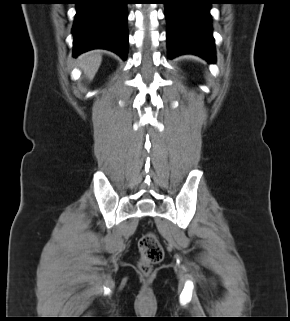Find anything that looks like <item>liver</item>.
Masks as SVG:
<instances>
[{
  "label": "liver",
  "instance_id": "obj_1",
  "mask_svg": "<svg viewBox=\"0 0 290 321\" xmlns=\"http://www.w3.org/2000/svg\"><path fill=\"white\" fill-rule=\"evenodd\" d=\"M102 62L101 52L98 50L89 51L79 56L78 65L83 70L85 76L92 80Z\"/></svg>",
  "mask_w": 290,
  "mask_h": 321
}]
</instances>
